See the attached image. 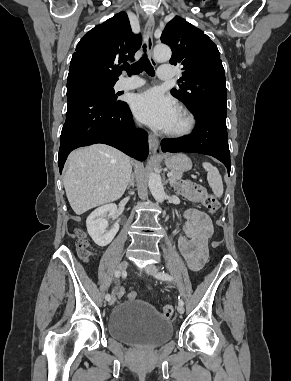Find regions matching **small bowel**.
Listing matches in <instances>:
<instances>
[{"instance_id": "1", "label": "small bowel", "mask_w": 291, "mask_h": 381, "mask_svg": "<svg viewBox=\"0 0 291 381\" xmlns=\"http://www.w3.org/2000/svg\"><path fill=\"white\" fill-rule=\"evenodd\" d=\"M187 237L178 238V248L189 269L199 270L207 257V242L213 233L210 218L198 209L185 212Z\"/></svg>"}]
</instances>
